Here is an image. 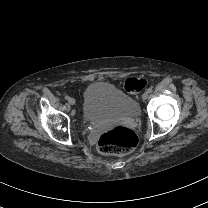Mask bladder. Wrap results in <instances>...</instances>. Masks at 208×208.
<instances>
[{"instance_id": "1", "label": "bladder", "mask_w": 208, "mask_h": 208, "mask_svg": "<svg viewBox=\"0 0 208 208\" xmlns=\"http://www.w3.org/2000/svg\"><path fill=\"white\" fill-rule=\"evenodd\" d=\"M137 114H139V106L136 100L113 85L92 82L84 91V118H128Z\"/></svg>"}]
</instances>
